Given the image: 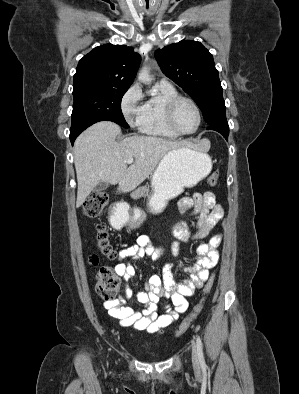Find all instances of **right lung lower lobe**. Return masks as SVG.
Wrapping results in <instances>:
<instances>
[{
    "mask_svg": "<svg viewBox=\"0 0 299 394\" xmlns=\"http://www.w3.org/2000/svg\"><path fill=\"white\" fill-rule=\"evenodd\" d=\"M94 123H96V122L90 121V122H81V123L72 124L71 129H70V141H71L72 145H73L76 137L83 130H85L87 127H89L90 125H92Z\"/></svg>",
    "mask_w": 299,
    "mask_h": 394,
    "instance_id": "1",
    "label": "right lung lower lobe"
}]
</instances>
